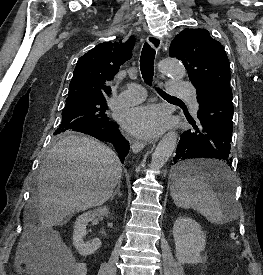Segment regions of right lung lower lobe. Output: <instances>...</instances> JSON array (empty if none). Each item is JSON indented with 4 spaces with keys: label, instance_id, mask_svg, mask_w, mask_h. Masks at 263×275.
<instances>
[{
    "label": "right lung lower lobe",
    "instance_id": "98d812e1",
    "mask_svg": "<svg viewBox=\"0 0 263 275\" xmlns=\"http://www.w3.org/2000/svg\"><path fill=\"white\" fill-rule=\"evenodd\" d=\"M75 131L112 143L115 146L116 151L119 153L121 162H124V159L129 152L130 145L118 130L116 123L110 121L103 128H77Z\"/></svg>",
    "mask_w": 263,
    "mask_h": 275
}]
</instances>
